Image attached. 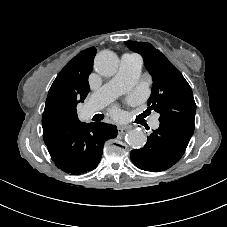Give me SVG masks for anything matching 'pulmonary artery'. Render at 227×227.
I'll return each instance as SVG.
<instances>
[{
	"label": "pulmonary artery",
	"mask_w": 227,
	"mask_h": 227,
	"mask_svg": "<svg viewBox=\"0 0 227 227\" xmlns=\"http://www.w3.org/2000/svg\"><path fill=\"white\" fill-rule=\"evenodd\" d=\"M141 69L142 60L139 56L134 54L122 55L117 74L92 95L91 104L87 108V114H93L117 96L130 90L136 84ZM150 126L153 129L159 127L157 114L152 116Z\"/></svg>",
	"instance_id": "1"
}]
</instances>
